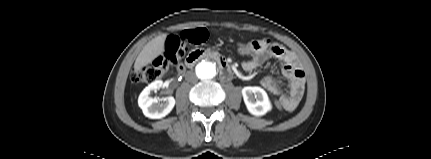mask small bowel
<instances>
[{
  "mask_svg": "<svg viewBox=\"0 0 431 159\" xmlns=\"http://www.w3.org/2000/svg\"><path fill=\"white\" fill-rule=\"evenodd\" d=\"M239 45L250 47V50L243 55L248 57L242 63L246 71L260 67L269 58H275L281 62V74L288 81L289 91L283 93L276 80L270 76L263 79L262 85L272 94L280 96L283 110H294L303 96L305 86V73L298 65L295 55L269 39L252 40ZM182 67V65H178V69Z\"/></svg>",
  "mask_w": 431,
  "mask_h": 159,
  "instance_id": "small-bowel-1",
  "label": "small bowel"
}]
</instances>
